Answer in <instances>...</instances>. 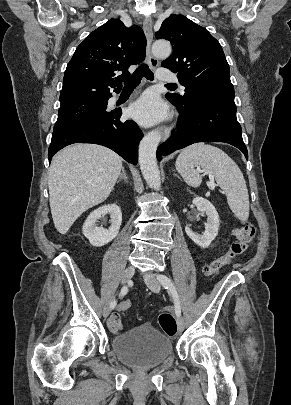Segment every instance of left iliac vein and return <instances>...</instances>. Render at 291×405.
<instances>
[{"label": "left iliac vein", "mask_w": 291, "mask_h": 405, "mask_svg": "<svg viewBox=\"0 0 291 405\" xmlns=\"http://www.w3.org/2000/svg\"><path fill=\"white\" fill-rule=\"evenodd\" d=\"M144 282L151 291L155 293L160 292V283L152 273L148 272L144 274ZM177 325L180 332L184 330L185 324L181 316H178Z\"/></svg>", "instance_id": "left-iliac-vein-1"}]
</instances>
